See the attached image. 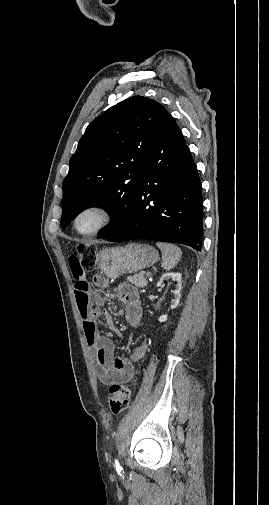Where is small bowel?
<instances>
[{"label": "small bowel", "instance_id": "c3829d8e", "mask_svg": "<svg viewBox=\"0 0 269 505\" xmlns=\"http://www.w3.org/2000/svg\"><path fill=\"white\" fill-rule=\"evenodd\" d=\"M68 268L75 279V297L83 323V331L88 347L95 359L96 375L104 385L123 384L129 382L134 375V364L141 360L147 350L148 342H142L129 357H114V344L108 337L101 336L97 327V319L103 317L106 324L114 329L110 313L102 309L104 299L99 295H90L86 281L88 273L81 268L79 259H70ZM98 287L105 286V280L96 275L93 279ZM125 305V317L132 327H138L141 322L142 309L137 291L128 285H122L117 290Z\"/></svg>", "mask_w": 269, "mask_h": 505}]
</instances>
